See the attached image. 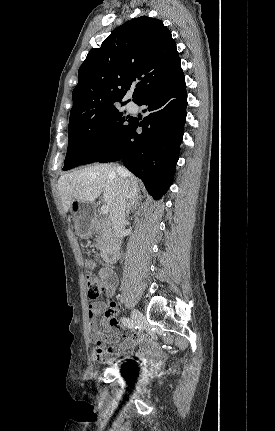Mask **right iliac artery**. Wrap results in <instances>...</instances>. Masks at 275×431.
<instances>
[{
  "instance_id": "obj_1",
  "label": "right iliac artery",
  "mask_w": 275,
  "mask_h": 431,
  "mask_svg": "<svg viewBox=\"0 0 275 431\" xmlns=\"http://www.w3.org/2000/svg\"><path fill=\"white\" fill-rule=\"evenodd\" d=\"M122 322L124 325L128 326L129 328L134 327L133 321H131L129 318H123Z\"/></svg>"
}]
</instances>
